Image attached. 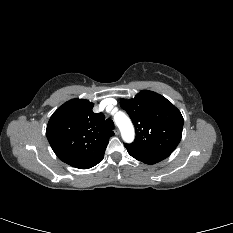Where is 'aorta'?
I'll list each match as a JSON object with an SVG mask.
<instances>
[{
    "label": "aorta",
    "mask_w": 233,
    "mask_h": 233,
    "mask_svg": "<svg viewBox=\"0 0 233 233\" xmlns=\"http://www.w3.org/2000/svg\"><path fill=\"white\" fill-rule=\"evenodd\" d=\"M114 121L120 129L122 139L126 143H131L134 140L135 132L130 118L123 112H118L114 115Z\"/></svg>",
    "instance_id": "obj_1"
}]
</instances>
